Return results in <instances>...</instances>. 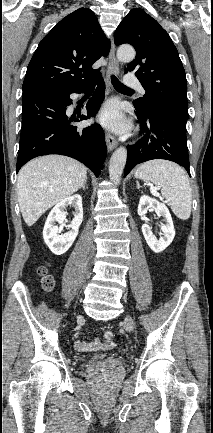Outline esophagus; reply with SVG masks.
I'll use <instances>...</instances> for the list:
<instances>
[{"mask_svg": "<svg viewBox=\"0 0 213 433\" xmlns=\"http://www.w3.org/2000/svg\"><path fill=\"white\" fill-rule=\"evenodd\" d=\"M115 44L112 40L111 42V49L109 53V65H108V72L106 74V84H107V92L109 93L111 91V81H110V75L114 74L117 75L119 73V63L115 56ZM106 143L108 150L111 151L118 145L117 139L110 133L106 132Z\"/></svg>", "mask_w": 213, "mask_h": 433, "instance_id": "obj_1", "label": "esophagus"}]
</instances>
